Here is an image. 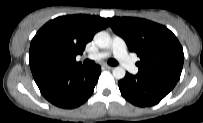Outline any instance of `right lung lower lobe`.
I'll list each match as a JSON object with an SVG mask.
<instances>
[{"instance_id":"98d812e1","label":"right lung lower lobe","mask_w":203,"mask_h":123,"mask_svg":"<svg viewBox=\"0 0 203 123\" xmlns=\"http://www.w3.org/2000/svg\"><path fill=\"white\" fill-rule=\"evenodd\" d=\"M101 73L99 65L93 68L62 66L32 71L42 95L61 108H75L92 94Z\"/></svg>"}]
</instances>
